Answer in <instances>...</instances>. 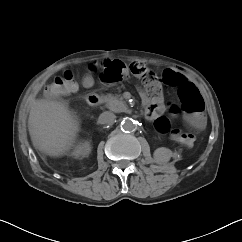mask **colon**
Masks as SVG:
<instances>
[{"mask_svg": "<svg viewBox=\"0 0 242 242\" xmlns=\"http://www.w3.org/2000/svg\"><path fill=\"white\" fill-rule=\"evenodd\" d=\"M89 70L96 72L98 63L89 64ZM130 72L140 77L149 94L157 99L161 95V87L156 79L155 74L146 68L143 64L134 63L130 66ZM125 70L117 61H107L103 69L99 73V79L103 83L113 84L119 82ZM164 81L170 87L178 88V96L181 101L182 108L189 114H197L203 110V100L196 86L188 81L183 75L166 71L164 73ZM79 85L71 71H66L62 76L54 79V81L46 87L45 93L48 96H60L72 93L78 89ZM155 127L162 134L170 133L175 139L183 134L179 129H171L169 120L160 116L155 121Z\"/></svg>", "mask_w": 242, "mask_h": 242, "instance_id": "obj_1", "label": "colon"}]
</instances>
